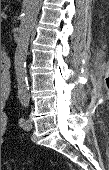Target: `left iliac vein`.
Listing matches in <instances>:
<instances>
[{"mask_svg":"<svg viewBox=\"0 0 109 170\" xmlns=\"http://www.w3.org/2000/svg\"><path fill=\"white\" fill-rule=\"evenodd\" d=\"M22 127L26 131L31 130L32 129V122H31V120L30 119H26Z\"/></svg>","mask_w":109,"mask_h":170,"instance_id":"obj_1","label":"left iliac vein"}]
</instances>
